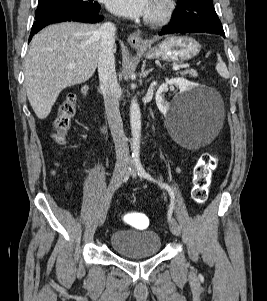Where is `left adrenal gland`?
I'll list each match as a JSON object with an SVG mask.
<instances>
[{
  "instance_id": "obj_1",
  "label": "left adrenal gland",
  "mask_w": 267,
  "mask_h": 301,
  "mask_svg": "<svg viewBox=\"0 0 267 301\" xmlns=\"http://www.w3.org/2000/svg\"><path fill=\"white\" fill-rule=\"evenodd\" d=\"M145 66H146V63L144 61L143 65H142V68H141V72H142L143 77H147V75L153 70L152 68L148 69V70H145Z\"/></svg>"
}]
</instances>
